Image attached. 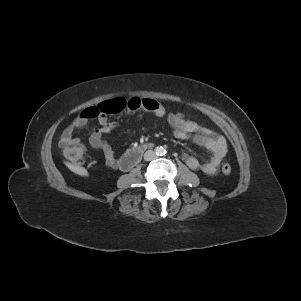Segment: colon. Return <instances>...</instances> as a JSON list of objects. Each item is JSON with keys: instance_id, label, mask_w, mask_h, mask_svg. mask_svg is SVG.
I'll return each mask as SVG.
<instances>
[{"instance_id": "1", "label": "colon", "mask_w": 301, "mask_h": 301, "mask_svg": "<svg viewBox=\"0 0 301 301\" xmlns=\"http://www.w3.org/2000/svg\"><path fill=\"white\" fill-rule=\"evenodd\" d=\"M162 105L154 99H140L137 97L125 99L122 97H117L114 99H110L104 102L99 103L96 106L89 107L85 109L82 114L87 118H96L100 115H105L109 113H118L123 110H138L144 109L151 112H157L161 109ZM182 120H189L194 123L199 121V118L189 112L182 113L180 115ZM86 146L81 143L80 141L74 142L72 144L66 145L63 147L62 154L65 159L73 164H82L84 163L85 156H86ZM222 173L229 174L231 172V166L229 164H224L222 166Z\"/></svg>"}]
</instances>
